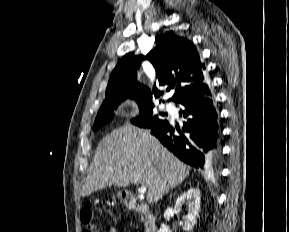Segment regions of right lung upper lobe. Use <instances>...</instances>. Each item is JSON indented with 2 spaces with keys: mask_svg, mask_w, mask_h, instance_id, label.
Segmentation results:
<instances>
[{
  "mask_svg": "<svg viewBox=\"0 0 289 232\" xmlns=\"http://www.w3.org/2000/svg\"><path fill=\"white\" fill-rule=\"evenodd\" d=\"M155 42L157 45L145 57L135 56L134 53L122 57L111 73L105 94L107 99L123 96L152 102V94L155 98L162 95L163 92L155 86L152 93L143 85H140V89H133L138 85L135 71L144 59L155 67L159 85L175 87V93L168 101L181 103L212 95L209 80L204 73L205 66L200 62L197 49L191 41L169 31L158 35Z\"/></svg>",
  "mask_w": 289,
  "mask_h": 232,
  "instance_id": "obj_1",
  "label": "right lung upper lobe"
}]
</instances>
